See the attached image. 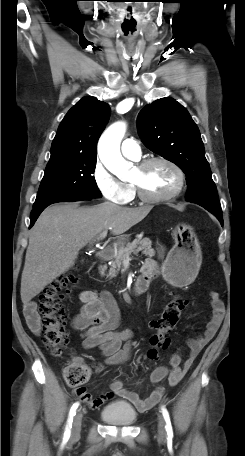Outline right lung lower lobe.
<instances>
[{"label":"right lung lower lobe","mask_w":245,"mask_h":456,"mask_svg":"<svg viewBox=\"0 0 245 456\" xmlns=\"http://www.w3.org/2000/svg\"><path fill=\"white\" fill-rule=\"evenodd\" d=\"M91 198H76V199H69V200H66V201H62V202H73V201H79V200H90ZM49 205H46V206H42V207H37V208H33L32 212H31V216H30V228L34 225L35 221L37 220L38 216L40 215V213Z\"/></svg>","instance_id":"obj_1"}]
</instances>
